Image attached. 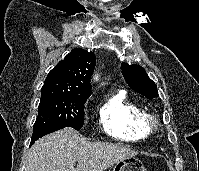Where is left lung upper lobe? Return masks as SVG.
Segmentation results:
<instances>
[{
	"label": "left lung upper lobe",
	"mask_w": 199,
	"mask_h": 171,
	"mask_svg": "<svg viewBox=\"0 0 199 171\" xmlns=\"http://www.w3.org/2000/svg\"><path fill=\"white\" fill-rule=\"evenodd\" d=\"M121 68L126 82L135 92L150 99L158 96L157 86L148 77L144 68L126 63H122Z\"/></svg>",
	"instance_id": "1"
}]
</instances>
